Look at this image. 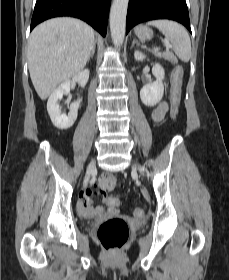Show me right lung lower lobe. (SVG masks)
I'll return each instance as SVG.
<instances>
[{"mask_svg":"<svg viewBox=\"0 0 229 280\" xmlns=\"http://www.w3.org/2000/svg\"><path fill=\"white\" fill-rule=\"evenodd\" d=\"M110 3L111 0H37L30 30L44 20L71 16L84 20L105 36Z\"/></svg>","mask_w":229,"mask_h":280,"instance_id":"1","label":"right lung lower lobe"}]
</instances>
